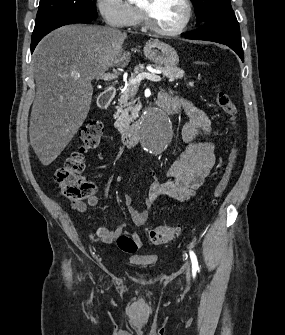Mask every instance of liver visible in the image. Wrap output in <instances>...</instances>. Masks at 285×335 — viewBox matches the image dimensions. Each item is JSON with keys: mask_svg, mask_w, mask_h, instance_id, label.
Masks as SVG:
<instances>
[{"mask_svg": "<svg viewBox=\"0 0 285 335\" xmlns=\"http://www.w3.org/2000/svg\"><path fill=\"white\" fill-rule=\"evenodd\" d=\"M127 34L116 28L73 24L45 36L33 56L37 84L29 138L43 166L52 164L71 142L91 108L92 80L114 66H128Z\"/></svg>", "mask_w": 285, "mask_h": 335, "instance_id": "obj_1", "label": "liver"}]
</instances>
